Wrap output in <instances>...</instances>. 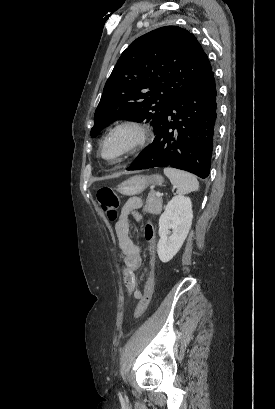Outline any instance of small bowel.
<instances>
[{
  "label": "small bowel",
  "instance_id": "small-bowel-1",
  "mask_svg": "<svg viewBox=\"0 0 275 409\" xmlns=\"http://www.w3.org/2000/svg\"><path fill=\"white\" fill-rule=\"evenodd\" d=\"M141 206L140 197L129 198L122 208L121 218L115 224V233L123 261L124 285L128 296L133 298H140L143 293L135 276V272L141 264V249L130 235L129 216L139 220L140 215L137 210ZM145 278L146 275L142 277L141 281H144Z\"/></svg>",
  "mask_w": 275,
  "mask_h": 409
}]
</instances>
